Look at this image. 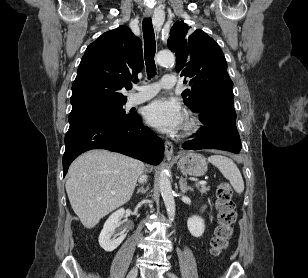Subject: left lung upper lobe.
I'll return each instance as SVG.
<instances>
[{"label": "left lung upper lobe", "instance_id": "left-lung-upper-lobe-1", "mask_svg": "<svg viewBox=\"0 0 308 278\" xmlns=\"http://www.w3.org/2000/svg\"><path fill=\"white\" fill-rule=\"evenodd\" d=\"M168 47L176 54V70L190 80L191 89L182 93L189 108L198 111L216 99L234 98L224 54L206 33L198 29L190 34L189 26L178 21L171 28Z\"/></svg>", "mask_w": 308, "mask_h": 278}]
</instances>
